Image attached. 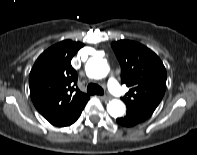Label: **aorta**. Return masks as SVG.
<instances>
[{
    "instance_id": "762f6f07",
    "label": "aorta",
    "mask_w": 197,
    "mask_h": 155,
    "mask_svg": "<svg viewBox=\"0 0 197 155\" xmlns=\"http://www.w3.org/2000/svg\"><path fill=\"white\" fill-rule=\"evenodd\" d=\"M85 71L88 77L101 79L107 76L109 72V66L106 60L100 57H92L87 61L85 65ZM125 110V104L117 99L111 100L107 105V111L112 117L123 116Z\"/></svg>"
}]
</instances>
